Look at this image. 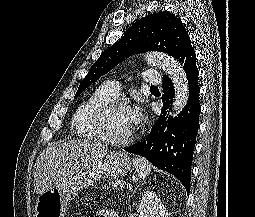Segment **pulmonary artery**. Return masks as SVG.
Segmentation results:
<instances>
[{
  "label": "pulmonary artery",
  "instance_id": "pulmonary-artery-1",
  "mask_svg": "<svg viewBox=\"0 0 255 217\" xmlns=\"http://www.w3.org/2000/svg\"><path fill=\"white\" fill-rule=\"evenodd\" d=\"M143 80L149 85H158L161 82V78L156 73L145 71L143 73ZM103 87L109 92L110 95L116 97L120 91V84L118 80L112 79L104 83Z\"/></svg>",
  "mask_w": 255,
  "mask_h": 217
}]
</instances>
